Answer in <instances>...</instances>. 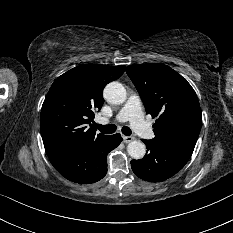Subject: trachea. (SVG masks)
I'll return each instance as SVG.
<instances>
[{
  "mask_svg": "<svg viewBox=\"0 0 233 233\" xmlns=\"http://www.w3.org/2000/svg\"><path fill=\"white\" fill-rule=\"evenodd\" d=\"M94 126L102 133L104 134H112L116 131V126L114 124L109 125H100V124H94ZM122 133L126 136H130L132 134V131L129 127L124 126L122 127Z\"/></svg>",
  "mask_w": 233,
  "mask_h": 233,
  "instance_id": "obj_1",
  "label": "trachea"
}]
</instances>
